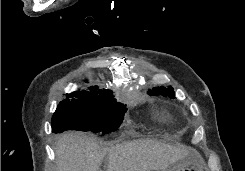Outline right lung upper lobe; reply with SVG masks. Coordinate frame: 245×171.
<instances>
[{"label":"right lung upper lobe","instance_id":"right-lung-upper-lobe-1","mask_svg":"<svg viewBox=\"0 0 245 171\" xmlns=\"http://www.w3.org/2000/svg\"><path fill=\"white\" fill-rule=\"evenodd\" d=\"M90 92L80 91L73 92L71 94H66L68 98L76 97L77 99H73L71 101H95V100H104V99H113V92L111 90H97L98 86H91ZM65 99L64 101H70L69 99Z\"/></svg>","mask_w":245,"mask_h":171}]
</instances>
